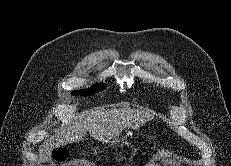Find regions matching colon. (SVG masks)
<instances>
[{
    "mask_svg": "<svg viewBox=\"0 0 231 166\" xmlns=\"http://www.w3.org/2000/svg\"><path fill=\"white\" fill-rule=\"evenodd\" d=\"M53 157L58 162H63L68 157V152L64 149H60L54 152Z\"/></svg>",
    "mask_w": 231,
    "mask_h": 166,
    "instance_id": "colon-1",
    "label": "colon"
}]
</instances>
